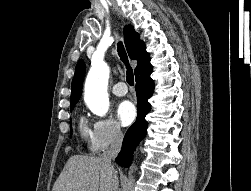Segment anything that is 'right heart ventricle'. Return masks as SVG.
I'll use <instances>...</instances> for the list:
<instances>
[{
  "label": "right heart ventricle",
  "mask_w": 251,
  "mask_h": 191,
  "mask_svg": "<svg viewBox=\"0 0 251 191\" xmlns=\"http://www.w3.org/2000/svg\"><path fill=\"white\" fill-rule=\"evenodd\" d=\"M79 133H80L82 140L85 143L89 144V142H91L92 131L89 129L87 121L83 117L80 118V120H79ZM91 146L93 147L92 142H91Z\"/></svg>",
  "instance_id": "1"
}]
</instances>
